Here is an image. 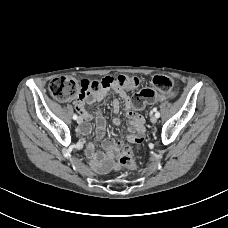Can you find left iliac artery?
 <instances>
[{"label": "left iliac artery", "mask_w": 228, "mask_h": 228, "mask_svg": "<svg viewBox=\"0 0 228 228\" xmlns=\"http://www.w3.org/2000/svg\"><path fill=\"white\" fill-rule=\"evenodd\" d=\"M155 116H156L157 118H159V117H160V113H159V112H156V113H155Z\"/></svg>", "instance_id": "44dca946"}]
</instances>
